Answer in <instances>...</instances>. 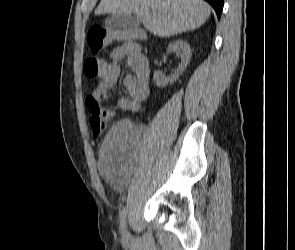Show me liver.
<instances>
[{"label":"liver","mask_w":295,"mask_h":250,"mask_svg":"<svg viewBox=\"0 0 295 250\" xmlns=\"http://www.w3.org/2000/svg\"><path fill=\"white\" fill-rule=\"evenodd\" d=\"M135 14L144 28L158 37H170L201 27L211 13L202 0H101L95 15Z\"/></svg>","instance_id":"6515ba94"}]
</instances>
